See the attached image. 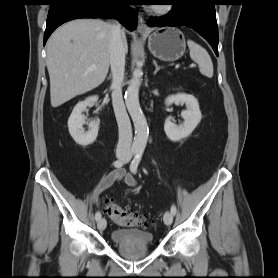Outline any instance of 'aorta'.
Masks as SVG:
<instances>
[{"label": "aorta", "mask_w": 278, "mask_h": 278, "mask_svg": "<svg viewBox=\"0 0 278 278\" xmlns=\"http://www.w3.org/2000/svg\"><path fill=\"white\" fill-rule=\"evenodd\" d=\"M142 75V70L139 68H136L133 71L132 79L129 82V86L125 94L126 107L133 120L135 128L133 149L136 151H144L149 136L147 121L139 103V88L141 85Z\"/></svg>", "instance_id": "aorta-1"}]
</instances>
